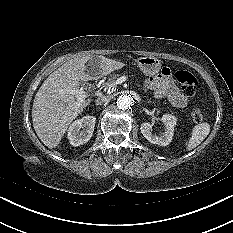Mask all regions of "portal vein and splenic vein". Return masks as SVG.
I'll list each match as a JSON object with an SVG mask.
<instances>
[{"instance_id": "1", "label": "portal vein and splenic vein", "mask_w": 233, "mask_h": 233, "mask_svg": "<svg viewBox=\"0 0 233 233\" xmlns=\"http://www.w3.org/2000/svg\"><path fill=\"white\" fill-rule=\"evenodd\" d=\"M122 82H123V80L121 78H119L114 83L108 85L105 88V90L107 91V93L110 94L116 89V86ZM66 91L68 93L74 95L75 97H77L79 101H83L86 98V92L82 89H66Z\"/></svg>"}]
</instances>
